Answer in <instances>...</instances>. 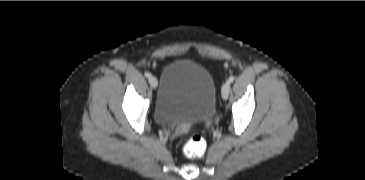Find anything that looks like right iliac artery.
Segmentation results:
<instances>
[{
    "label": "right iliac artery",
    "mask_w": 365,
    "mask_h": 180,
    "mask_svg": "<svg viewBox=\"0 0 365 180\" xmlns=\"http://www.w3.org/2000/svg\"><path fill=\"white\" fill-rule=\"evenodd\" d=\"M145 76H146V77H150V76H151V74H150L149 72H145Z\"/></svg>",
    "instance_id": "82829eb1"
}]
</instances>
